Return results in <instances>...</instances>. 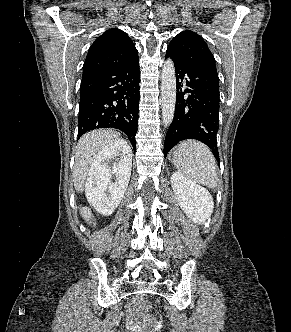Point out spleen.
Here are the masks:
<instances>
[{
	"label": "spleen",
	"mask_w": 291,
	"mask_h": 332,
	"mask_svg": "<svg viewBox=\"0 0 291 332\" xmlns=\"http://www.w3.org/2000/svg\"><path fill=\"white\" fill-rule=\"evenodd\" d=\"M172 161L188 180L209 188L217 187V164L210 149L196 140H186L173 151Z\"/></svg>",
	"instance_id": "3e777b00"
}]
</instances>
